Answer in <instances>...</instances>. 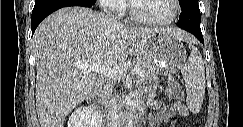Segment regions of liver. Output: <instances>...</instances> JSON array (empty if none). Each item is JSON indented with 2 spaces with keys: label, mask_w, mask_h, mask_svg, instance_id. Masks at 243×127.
Returning a JSON list of instances; mask_svg holds the SVG:
<instances>
[{
  "label": "liver",
  "mask_w": 243,
  "mask_h": 127,
  "mask_svg": "<svg viewBox=\"0 0 243 127\" xmlns=\"http://www.w3.org/2000/svg\"><path fill=\"white\" fill-rule=\"evenodd\" d=\"M153 31H167L180 40L192 37L175 28H131L114 18L85 7H65L48 16L36 29V109L41 127H63L71 110L92 92L96 72L79 65L121 66L128 57L129 41Z\"/></svg>",
  "instance_id": "liver-1"
}]
</instances>
